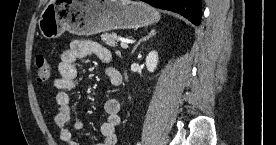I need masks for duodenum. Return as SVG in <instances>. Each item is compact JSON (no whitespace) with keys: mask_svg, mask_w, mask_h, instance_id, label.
<instances>
[{"mask_svg":"<svg viewBox=\"0 0 276 145\" xmlns=\"http://www.w3.org/2000/svg\"><path fill=\"white\" fill-rule=\"evenodd\" d=\"M121 81V74L118 73V76L114 79V83H119Z\"/></svg>","mask_w":276,"mask_h":145,"instance_id":"410a0bca","label":"duodenum"}]
</instances>
